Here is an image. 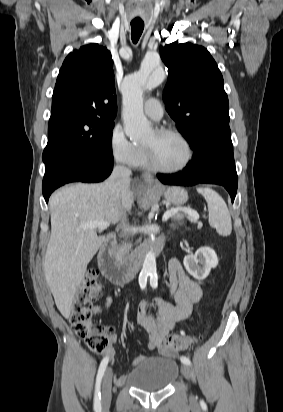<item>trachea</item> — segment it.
Instances as JSON below:
<instances>
[{"label":"trachea","instance_id":"1","mask_svg":"<svg viewBox=\"0 0 283 412\" xmlns=\"http://www.w3.org/2000/svg\"><path fill=\"white\" fill-rule=\"evenodd\" d=\"M143 22H131V38L134 44H136L143 32Z\"/></svg>","mask_w":283,"mask_h":412}]
</instances>
